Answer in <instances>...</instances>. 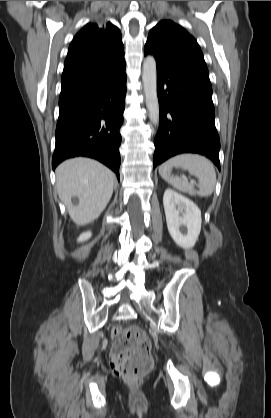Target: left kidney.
Wrapping results in <instances>:
<instances>
[{"label": "left kidney", "instance_id": "1", "mask_svg": "<svg viewBox=\"0 0 271 418\" xmlns=\"http://www.w3.org/2000/svg\"><path fill=\"white\" fill-rule=\"evenodd\" d=\"M163 205L172 239L182 248H192L201 231V211L198 206L170 188L164 192Z\"/></svg>", "mask_w": 271, "mask_h": 418}]
</instances>
